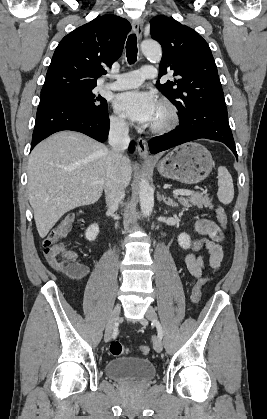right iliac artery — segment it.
I'll return each mask as SVG.
<instances>
[{
    "label": "right iliac artery",
    "instance_id": "1",
    "mask_svg": "<svg viewBox=\"0 0 267 419\" xmlns=\"http://www.w3.org/2000/svg\"><path fill=\"white\" fill-rule=\"evenodd\" d=\"M117 335H118V328H117V325L114 327V331H113V334H112V338H116L117 337Z\"/></svg>",
    "mask_w": 267,
    "mask_h": 419
}]
</instances>
